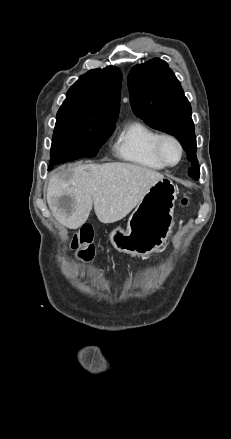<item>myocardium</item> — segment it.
Masks as SVG:
<instances>
[{
  "label": "myocardium",
  "instance_id": "obj_1",
  "mask_svg": "<svg viewBox=\"0 0 231 439\" xmlns=\"http://www.w3.org/2000/svg\"><path fill=\"white\" fill-rule=\"evenodd\" d=\"M165 140H171L173 141L178 149H179V159L175 163H170L165 158L163 151H162V144ZM154 153L158 160L165 166V167H175L178 164L181 163L183 156H184V147L181 141L173 134L170 133H162L159 134L154 142Z\"/></svg>",
  "mask_w": 231,
  "mask_h": 439
}]
</instances>
